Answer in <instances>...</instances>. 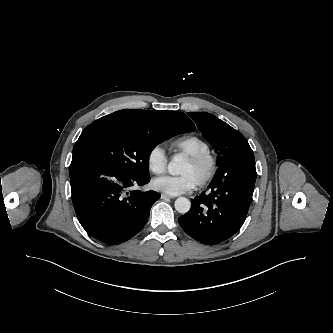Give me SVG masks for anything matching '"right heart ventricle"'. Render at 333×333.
I'll list each match as a JSON object with an SVG mask.
<instances>
[{
	"instance_id": "right-heart-ventricle-1",
	"label": "right heart ventricle",
	"mask_w": 333,
	"mask_h": 333,
	"mask_svg": "<svg viewBox=\"0 0 333 333\" xmlns=\"http://www.w3.org/2000/svg\"><path fill=\"white\" fill-rule=\"evenodd\" d=\"M169 146L174 152L185 156L209 151V146L203 139L190 134L174 138Z\"/></svg>"
}]
</instances>
